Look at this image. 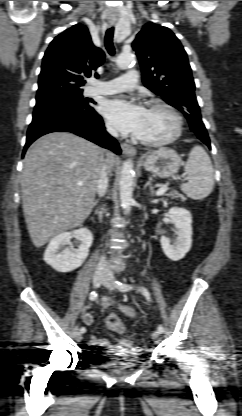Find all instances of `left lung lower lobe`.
<instances>
[{"label": "left lung lower lobe", "instance_id": "1", "mask_svg": "<svg viewBox=\"0 0 242 416\" xmlns=\"http://www.w3.org/2000/svg\"><path fill=\"white\" fill-rule=\"evenodd\" d=\"M203 143H205L209 148H211L210 146V140L209 137H203L200 139Z\"/></svg>", "mask_w": 242, "mask_h": 416}]
</instances>
